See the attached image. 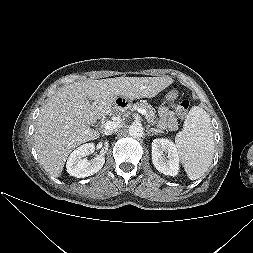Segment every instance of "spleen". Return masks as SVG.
I'll return each instance as SVG.
<instances>
[{
    "mask_svg": "<svg viewBox=\"0 0 253 253\" xmlns=\"http://www.w3.org/2000/svg\"><path fill=\"white\" fill-rule=\"evenodd\" d=\"M175 143L189 179L200 178L210 166L214 154L211 118L203 108L194 106L190 109Z\"/></svg>",
    "mask_w": 253,
    "mask_h": 253,
    "instance_id": "obj_1",
    "label": "spleen"
}]
</instances>
